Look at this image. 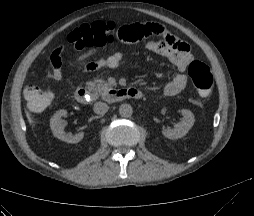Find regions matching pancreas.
Returning <instances> with one entry per match:
<instances>
[{
	"label": "pancreas",
	"instance_id": "1",
	"mask_svg": "<svg viewBox=\"0 0 254 216\" xmlns=\"http://www.w3.org/2000/svg\"><path fill=\"white\" fill-rule=\"evenodd\" d=\"M90 90L95 92H102L110 87V85L101 80L90 81L86 83Z\"/></svg>",
	"mask_w": 254,
	"mask_h": 216
}]
</instances>
